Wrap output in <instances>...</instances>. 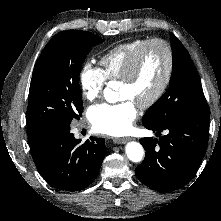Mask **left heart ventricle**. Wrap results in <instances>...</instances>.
<instances>
[{"label":"left heart ventricle","instance_id":"left-heart-ventricle-1","mask_svg":"<svg viewBox=\"0 0 221 221\" xmlns=\"http://www.w3.org/2000/svg\"><path fill=\"white\" fill-rule=\"evenodd\" d=\"M167 68L166 52L160 45L149 47L141 60L134 79L121 82L120 96L131 99L137 105L148 100L161 85Z\"/></svg>","mask_w":221,"mask_h":221}]
</instances>
